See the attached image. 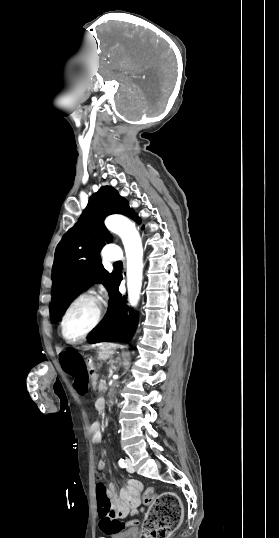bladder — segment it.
<instances>
[{
	"label": "bladder",
	"mask_w": 279,
	"mask_h": 538,
	"mask_svg": "<svg viewBox=\"0 0 279 538\" xmlns=\"http://www.w3.org/2000/svg\"><path fill=\"white\" fill-rule=\"evenodd\" d=\"M110 538H139L138 532H114Z\"/></svg>",
	"instance_id": "bladder-1"
}]
</instances>
